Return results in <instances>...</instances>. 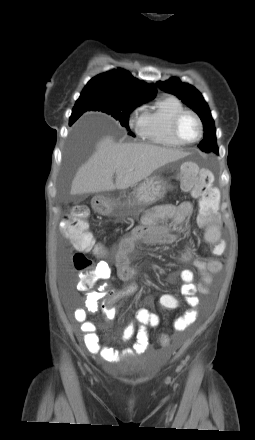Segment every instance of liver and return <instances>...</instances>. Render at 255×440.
Returning a JSON list of instances; mask_svg holds the SVG:
<instances>
[{
  "label": "liver",
  "instance_id": "1",
  "mask_svg": "<svg viewBox=\"0 0 255 440\" xmlns=\"http://www.w3.org/2000/svg\"><path fill=\"white\" fill-rule=\"evenodd\" d=\"M186 155L179 150L155 145L118 144L107 136L97 143L93 155L79 168L70 193L81 195L124 190L146 179L158 168Z\"/></svg>",
  "mask_w": 255,
  "mask_h": 440
}]
</instances>
